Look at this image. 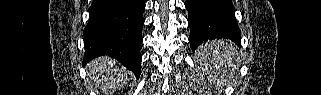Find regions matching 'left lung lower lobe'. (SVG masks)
Returning <instances> with one entry per match:
<instances>
[{"label":"left lung lower lobe","instance_id":"1","mask_svg":"<svg viewBox=\"0 0 321 95\" xmlns=\"http://www.w3.org/2000/svg\"><path fill=\"white\" fill-rule=\"evenodd\" d=\"M190 27L189 42L193 51L211 39H230L240 43V30L236 22L232 0H187Z\"/></svg>","mask_w":321,"mask_h":95}]
</instances>
